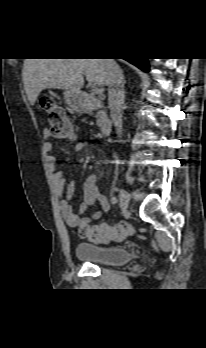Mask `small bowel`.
Wrapping results in <instances>:
<instances>
[{
  "label": "small bowel",
  "mask_w": 206,
  "mask_h": 348,
  "mask_svg": "<svg viewBox=\"0 0 206 348\" xmlns=\"http://www.w3.org/2000/svg\"><path fill=\"white\" fill-rule=\"evenodd\" d=\"M44 139V150L47 153V161L52 170V179L54 187L59 194H63L64 198L60 202V209L62 216L66 224L73 229L81 231L84 227L91 224L93 220L99 219L103 213L108 212L111 209V204L107 198L101 193L97 184V178L94 175L85 179L82 187V202L77 208L74 207L73 201L76 196V184L70 183L66 186V181L63 174L55 170V157L51 154L53 151V145L49 141L50 132L44 130L42 133ZM87 148L85 143H77L75 150L77 153L82 152ZM98 203L100 209L87 216L81 215L87 214L89 206L94 203Z\"/></svg>",
  "instance_id": "1"
}]
</instances>
